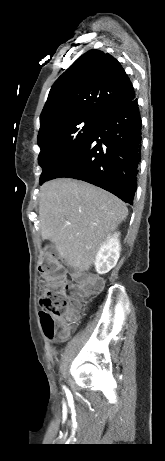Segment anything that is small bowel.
I'll return each instance as SVG.
<instances>
[{
	"mask_svg": "<svg viewBox=\"0 0 165 461\" xmlns=\"http://www.w3.org/2000/svg\"><path fill=\"white\" fill-rule=\"evenodd\" d=\"M82 279H83V280H86V279H87V276H86V275H83V276H82ZM90 279H92V280L98 282V283L100 284V288L104 285L103 279H101V278H99V277H97V276L92 275V276H90ZM71 287H72V286H71ZM67 297L69 298L70 296L68 295ZM71 319H72V314H71V313H64V314H63V317H62V322H63L64 324H69V323L71 322ZM64 338H65V337H64ZM64 338H62V339H64Z\"/></svg>",
	"mask_w": 165,
	"mask_h": 461,
	"instance_id": "1",
	"label": "small bowel"
}]
</instances>
